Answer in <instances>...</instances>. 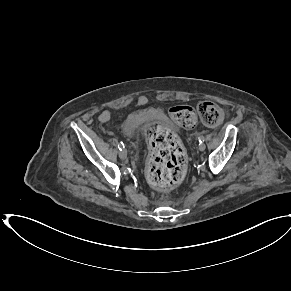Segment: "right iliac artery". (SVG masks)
<instances>
[{"instance_id": "obj_1", "label": "right iliac artery", "mask_w": 291, "mask_h": 291, "mask_svg": "<svg viewBox=\"0 0 291 291\" xmlns=\"http://www.w3.org/2000/svg\"><path fill=\"white\" fill-rule=\"evenodd\" d=\"M118 148H119V150H122V149L124 148V144H123V142H121V143L118 145Z\"/></svg>"}]
</instances>
